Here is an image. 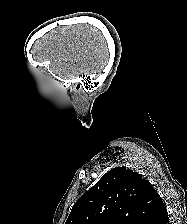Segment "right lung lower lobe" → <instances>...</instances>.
Returning <instances> with one entry per match:
<instances>
[{
    "mask_svg": "<svg viewBox=\"0 0 187 224\" xmlns=\"http://www.w3.org/2000/svg\"><path fill=\"white\" fill-rule=\"evenodd\" d=\"M159 224H169L168 215L164 217V219Z\"/></svg>",
    "mask_w": 187,
    "mask_h": 224,
    "instance_id": "1",
    "label": "right lung lower lobe"
}]
</instances>
